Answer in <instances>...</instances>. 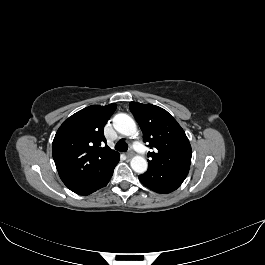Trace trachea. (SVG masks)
<instances>
[{
  "mask_svg": "<svg viewBox=\"0 0 265 265\" xmlns=\"http://www.w3.org/2000/svg\"><path fill=\"white\" fill-rule=\"evenodd\" d=\"M116 149L119 151H127V149H128L127 142L123 139H120L116 144Z\"/></svg>",
  "mask_w": 265,
  "mask_h": 265,
  "instance_id": "obj_1",
  "label": "trachea"
}]
</instances>
